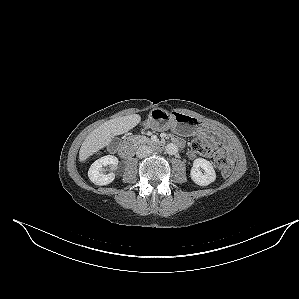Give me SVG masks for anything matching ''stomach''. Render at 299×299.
Masks as SVG:
<instances>
[{"label":"stomach","mask_w":299,"mask_h":299,"mask_svg":"<svg viewBox=\"0 0 299 299\" xmlns=\"http://www.w3.org/2000/svg\"><path fill=\"white\" fill-rule=\"evenodd\" d=\"M145 127L158 131L171 128L188 135L199 132V125L194 122L191 116L179 112L168 113L160 108H154L150 111Z\"/></svg>","instance_id":"stomach-1"}]
</instances>
